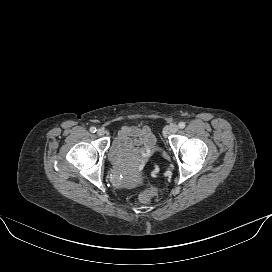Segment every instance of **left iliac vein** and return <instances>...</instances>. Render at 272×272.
I'll return each instance as SVG.
<instances>
[{"label":"left iliac vein","instance_id":"1","mask_svg":"<svg viewBox=\"0 0 272 272\" xmlns=\"http://www.w3.org/2000/svg\"><path fill=\"white\" fill-rule=\"evenodd\" d=\"M178 126L176 125V124H172V125H170L169 126V128H168V132H170V133H176L177 131H178Z\"/></svg>","mask_w":272,"mask_h":272}]
</instances>
